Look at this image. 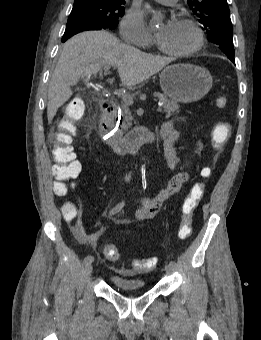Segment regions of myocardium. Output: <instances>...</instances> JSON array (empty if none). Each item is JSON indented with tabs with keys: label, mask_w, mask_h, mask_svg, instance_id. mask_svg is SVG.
<instances>
[{
	"label": "myocardium",
	"mask_w": 261,
	"mask_h": 340,
	"mask_svg": "<svg viewBox=\"0 0 261 340\" xmlns=\"http://www.w3.org/2000/svg\"><path fill=\"white\" fill-rule=\"evenodd\" d=\"M180 23L186 24L188 26H190L195 34H196V44L188 50L185 51H173V50H169L167 48H165L162 43L160 42V40L157 38L156 39V44L158 49L165 54L171 55V56H176V57H190L193 56L194 54H196L197 52H199L204 43H205V36H204V32L202 30V28L200 27V25L189 18H182L179 20Z\"/></svg>",
	"instance_id": "1"
}]
</instances>
